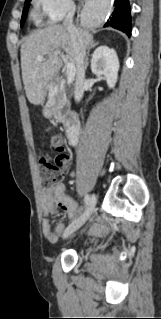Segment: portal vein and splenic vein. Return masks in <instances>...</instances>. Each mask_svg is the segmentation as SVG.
Listing matches in <instances>:
<instances>
[{
	"label": "portal vein and splenic vein",
	"instance_id": "18ae733b",
	"mask_svg": "<svg viewBox=\"0 0 161 319\" xmlns=\"http://www.w3.org/2000/svg\"><path fill=\"white\" fill-rule=\"evenodd\" d=\"M56 54H59L61 56L62 60L64 61V63L66 64L68 84L72 83V81L74 80V77H75V65L73 63L68 62V59L64 55H61L60 52H57ZM37 60L43 61L44 57L39 56L37 58Z\"/></svg>",
	"mask_w": 161,
	"mask_h": 319
}]
</instances>
